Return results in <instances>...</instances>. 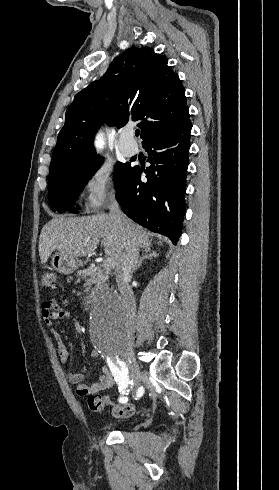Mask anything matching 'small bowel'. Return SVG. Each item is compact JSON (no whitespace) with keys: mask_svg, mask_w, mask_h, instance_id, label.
<instances>
[{"mask_svg":"<svg viewBox=\"0 0 279 490\" xmlns=\"http://www.w3.org/2000/svg\"><path fill=\"white\" fill-rule=\"evenodd\" d=\"M41 316L43 318V321L47 325H50L54 321L59 319H69L72 317V314L65 307L61 306L57 301L49 300L42 304ZM54 340L61 363H67L70 359L71 354L65 341L58 334L54 335ZM92 356H97V353L93 352ZM86 376V367H82L80 371H74L68 374V381L75 386L76 392L79 395L95 394L102 390L108 389L113 385L112 375L108 367L106 366L102 368V373L96 382L91 384L84 383Z\"/></svg>","mask_w":279,"mask_h":490,"instance_id":"1","label":"small bowel"}]
</instances>
